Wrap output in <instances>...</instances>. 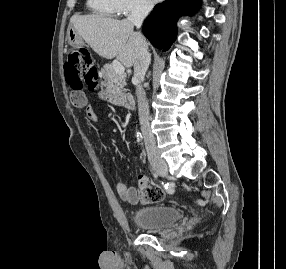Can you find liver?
Masks as SVG:
<instances>
[{
  "label": "liver",
  "mask_w": 286,
  "mask_h": 269,
  "mask_svg": "<svg viewBox=\"0 0 286 269\" xmlns=\"http://www.w3.org/2000/svg\"><path fill=\"white\" fill-rule=\"evenodd\" d=\"M71 27L101 57H116L126 67L135 65L139 59L142 35L134 32V25L125 19L117 20L102 15H73L70 19Z\"/></svg>",
  "instance_id": "1"
}]
</instances>
